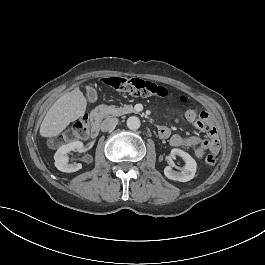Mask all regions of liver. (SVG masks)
Returning a JSON list of instances; mask_svg holds the SVG:
<instances>
[{
  "instance_id": "1",
  "label": "liver",
  "mask_w": 265,
  "mask_h": 265,
  "mask_svg": "<svg viewBox=\"0 0 265 265\" xmlns=\"http://www.w3.org/2000/svg\"><path fill=\"white\" fill-rule=\"evenodd\" d=\"M86 106V98L79 88L64 94L48 110L40 126V135H59L71 122L83 116Z\"/></svg>"
}]
</instances>
